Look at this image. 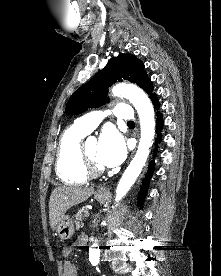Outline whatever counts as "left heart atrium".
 <instances>
[{"label":"left heart atrium","instance_id":"left-heart-atrium-1","mask_svg":"<svg viewBox=\"0 0 221 276\" xmlns=\"http://www.w3.org/2000/svg\"><path fill=\"white\" fill-rule=\"evenodd\" d=\"M126 156V145L123 137L114 129H105L98 142L97 159L102 166L119 165Z\"/></svg>","mask_w":221,"mask_h":276}]
</instances>
